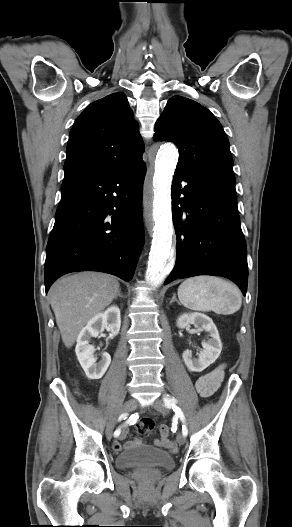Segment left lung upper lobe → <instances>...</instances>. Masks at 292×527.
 <instances>
[{"label":"left lung upper lobe","instance_id":"obj_1","mask_svg":"<svg viewBox=\"0 0 292 527\" xmlns=\"http://www.w3.org/2000/svg\"><path fill=\"white\" fill-rule=\"evenodd\" d=\"M154 140L177 145L176 172L235 186L228 138L220 122L199 103L171 97L156 122Z\"/></svg>","mask_w":292,"mask_h":527}]
</instances>
